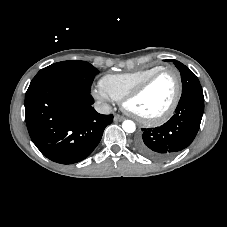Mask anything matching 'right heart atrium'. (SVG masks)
<instances>
[{
  "label": "right heart atrium",
  "mask_w": 227,
  "mask_h": 227,
  "mask_svg": "<svg viewBox=\"0 0 227 227\" xmlns=\"http://www.w3.org/2000/svg\"><path fill=\"white\" fill-rule=\"evenodd\" d=\"M93 95L95 98L103 102L108 101L110 99V97L105 92H103L100 88L94 90Z\"/></svg>",
  "instance_id": "obj_1"
}]
</instances>
